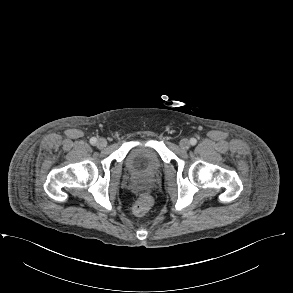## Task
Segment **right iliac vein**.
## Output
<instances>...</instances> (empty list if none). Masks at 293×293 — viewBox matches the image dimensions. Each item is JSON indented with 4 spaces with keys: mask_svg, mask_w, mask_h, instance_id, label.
Instances as JSON below:
<instances>
[{
    "mask_svg": "<svg viewBox=\"0 0 293 293\" xmlns=\"http://www.w3.org/2000/svg\"><path fill=\"white\" fill-rule=\"evenodd\" d=\"M97 146H98L99 148H104V147H106V146H107V141H106V139H104V138H100V139H98V141H97Z\"/></svg>",
    "mask_w": 293,
    "mask_h": 293,
    "instance_id": "right-iliac-vein-1",
    "label": "right iliac vein"
}]
</instances>
